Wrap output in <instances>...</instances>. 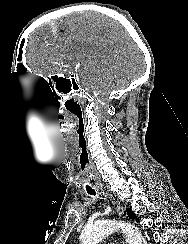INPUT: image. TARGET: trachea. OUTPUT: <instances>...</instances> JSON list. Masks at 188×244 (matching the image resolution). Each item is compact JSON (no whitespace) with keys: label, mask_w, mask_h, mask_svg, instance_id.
I'll list each match as a JSON object with an SVG mask.
<instances>
[{"label":"trachea","mask_w":188,"mask_h":244,"mask_svg":"<svg viewBox=\"0 0 188 244\" xmlns=\"http://www.w3.org/2000/svg\"><path fill=\"white\" fill-rule=\"evenodd\" d=\"M94 183V180H81V185L82 188H84V191L93 196L96 195L95 189L93 188V186H91L94 185Z\"/></svg>","instance_id":"obj_1"}]
</instances>
